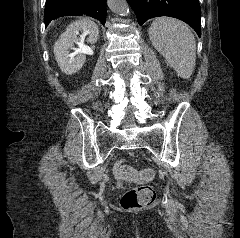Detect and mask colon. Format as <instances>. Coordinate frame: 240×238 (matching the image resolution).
Returning a JSON list of instances; mask_svg holds the SVG:
<instances>
[{"label":"colon","instance_id":"obj_1","mask_svg":"<svg viewBox=\"0 0 240 238\" xmlns=\"http://www.w3.org/2000/svg\"><path fill=\"white\" fill-rule=\"evenodd\" d=\"M152 169L138 171L131 166L123 165L118 172L119 181H131L138 183L137 186L126 190L120 198V206L124 210H137L150 206L155 200L154 189L145 184L153 177Z\"/></svg>","mask_w":240,"mask_h":238}]
</instances>
